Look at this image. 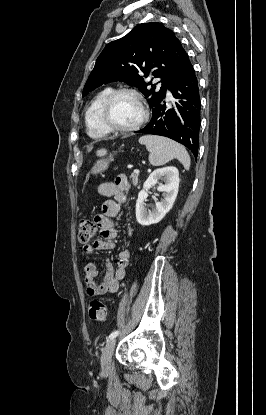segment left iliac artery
<instances>
[{"mask_svg":"<svg viewBox=\"0 0 266 415\" xmlns=\"http://www.w3.org/2000/svg\"><path fill=\"white\" fill-rule=\"evenodd\" d=\"M118 334H119V330L113 331V332L109 335V337H108V339H107V340L114 339V338H115Z\"/></svg>","mask_w":266,"mask_h":415,"instance_id":"obj_1","label":"left iliac artery"}]
</instances>
